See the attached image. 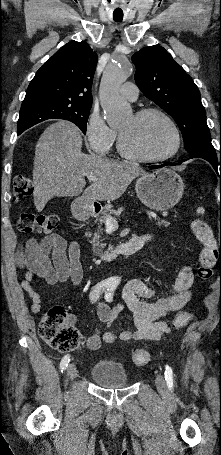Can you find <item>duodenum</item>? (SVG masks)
Masks as SVG:
<instances>
[{
  "mask_svg": "<svg viewBox=\"0 0 221 455\" xmlns=\"http://www.w3.org/2000/svg\"><path fill=\"white\" fill-rule=\"evenodd\" d=\"M100 210L101 208L99 206L82 201L75 207L74 211L77 218L86 219L96 217L100 213ZM144 245V240L140 236H136L100 253L99 258L103 261H111L119 255H132L138 252Z\"/></svg>",
  "mask_w": 221,
  "mask_h": 455,
  "instance_id": "obj_1",
  "label": "duodenum"
}]
</instances>
